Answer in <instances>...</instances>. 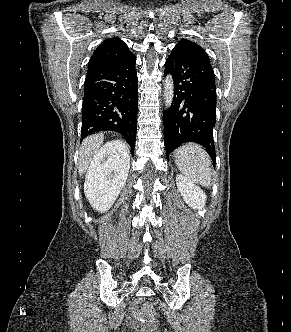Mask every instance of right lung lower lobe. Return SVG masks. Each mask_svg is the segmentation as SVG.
Returning a JSON list of instances; mask_svg holds the SVG:
<instances>
[{
	"mask_svg": "<svg viewBox=\"0 0 291 332\" xmlns=\"http://www.w3.org/2000/svg\"><path fill=\"white\" fill-rule=\"evenodd\" d=\"M135 56L107 66L88 69L84 83L81 139L99 131L124 136L134 152L138 111Z\"/></svg>",
	"mask_w": 291,
	"mask_h": 332,
	"instance_id": "98d812e1",
	"label": "right lung lower lobe"
}]
</instances>
